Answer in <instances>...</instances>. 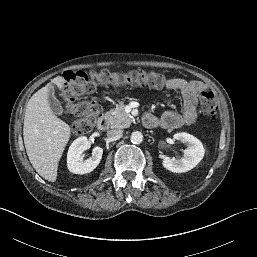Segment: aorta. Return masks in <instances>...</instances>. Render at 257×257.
<instances>
[{"instance_id":"aorta-1","label":"aorta","mask_w":257,"mask_h":257,"mask_svg":"<svg viewBox=\"0 0 257 257\" xmlns=\"http://www.w3.org/2000/svg\"><path fill=\"white\" fill-rule=\"evenodd\" d=\"M130 140L133 144H140L143 141V134L139 131H134L131 134Z\"/></svg>"}]
</instances>
